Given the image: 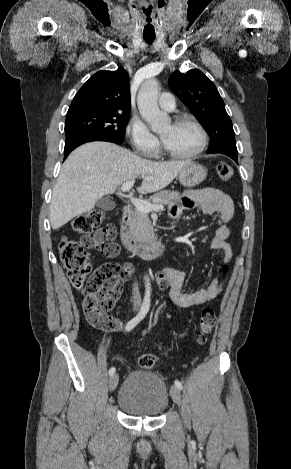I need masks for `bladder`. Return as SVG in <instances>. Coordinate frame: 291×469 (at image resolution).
<instances>
[{"label":"bladder","mask_w":291,"mask_h":469,"mask_svg":"<svg viewBox=\"0 0 291 469\" xmlns=\"http://www.w3.org/2000/svg\"><path fill=\"white\" fill-rule=\"evenodd\" d=\"M168 403L169 391L165 382L155 373L144 370L130 372L117 395L120 409L133 416H159Z\"/></svg>","instance_id":"31cf9c89"}]
</instances>
